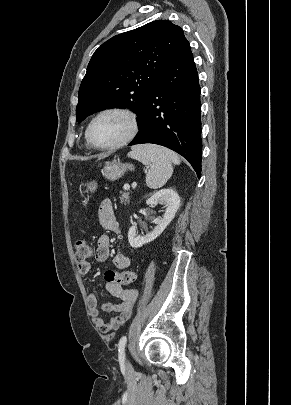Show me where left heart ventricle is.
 I'll list each match as a JSON object with an SVG mask.
<instances>
[{
    "mask_svg": "<svg viewBox=\"0 0 291 405\" xmlns=\"http://www.w3.org/2000/svg\"><path fill=\"white\" fill-rule=\"evenodd\" d=\"M128 120L120 114H106L95 121L91 128V140L97 146L112 145L126 136Z\"/></svg>",
    "mask_w": 291,
    "mask_h": 405,
    "instance_id": "1",
    "label": "left heart ventricle"
}]
</instances>
